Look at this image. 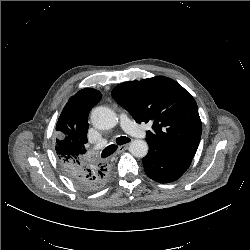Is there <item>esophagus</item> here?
Instances as JSON below:
<instances>
[{"label": "esophagus", "mask_w": 250, "mask_h": 250, "mask_svg": "<svg viewBox=\"0 0 250 250\" xmlns=\"http://www.w3.org/2000/svg\"><path fill=\"white\" fill-rule=\"evenodd\" d=\"M129 144H124L118 147L117 154H120L128 149Z\"/></svg>", "instance_id": "1"}]
</instances>
